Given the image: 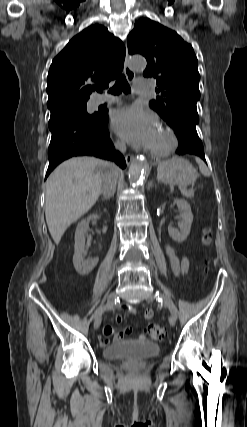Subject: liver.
Wrapping results in <instances>:
<instances>
[{
  "label": "liver",
  "mask_w": 247,
  "mask_h": 427,
  "mask_svg": "<svg viewBox=\"0 0 247 427\" xmlns=\"http://www.w3.org/2000/svg\"><path fill=\"white\" fill-rule=\"evenodd\" d=\"M108 162L75 157L60 164L48 177L45 216L49 232L59 244L67 228L98 200Z\"/></svg>",
  "instance_id": "1"
}]
</instances>
